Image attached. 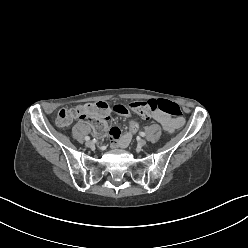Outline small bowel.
Wrapping results in <instances>:
<instances>
[{
    "label": "small bowel",
    "mask_w": 248,
    "mask_h": 248,
    "mask_svg": "<svg viewBox=\"0 0 248 248\" xmlns=\"http://www.w3.org/2000/svg\"><path fill=\"white\" fill-rule=\"evenodd\" d=\"M108 113V111H107ZM154 120L159 123L164 130L169 133L174 132L175 130L181 128L184 124V119L182 117L175 118L166 114L164 112H156L153 114ZM111 135V147L113 148H125L130 143L132 136L129 132L121 133L120 129L117 127H113L110 130Z\"/></svg>",
    "instance_id": "obj_1"
}]
</instances>
